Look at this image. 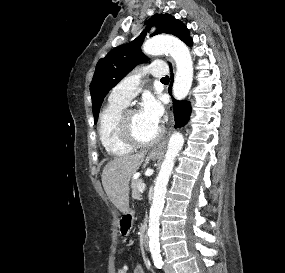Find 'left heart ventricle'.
Segmentation results:
<instances>
[{
  "mask_svg": "<svg viewBox=\"0 0 285 273\" xmlns=\"http://www.w3.org/2000/svg\"><path fill=\"white\" fill-rule=\"evenodd\" d=\"M129 124L134 135L141 141L151 140L159 130V126L146 121L140 116L139 112L129 115Z\"/></svg>",
  "mask_w": 285,
  "mask_h": 273,
  "instance_id": "1",
  "label": "left heart ventricle"
}]
</instances>
